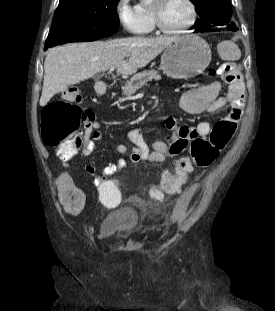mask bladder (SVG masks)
<instances>
[{"instance_id": "1", "label": "bladder", "mask_w": 275, "mask_h": 311, "mask_svg": "<svg viewBox=\"0 0 275 311\" xmlns=\"http://www.w3.org/2000/svg\"><path fill=\"white\" fill-rule=\"evenodd\" d=\"M139 214L136 209H118L108 213L100 226L103 237H117L130 235L137 231Z\"/></svg>"}]
</instances>
